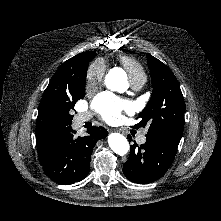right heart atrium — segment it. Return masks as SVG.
<instances>
[{
    "label": "right heart atrium",
    "mask_w": 221,
    "mask_h": 221,
    "mask_svg": "<svg viewBox=\"0 0 221 221\" xmlns=\"http://www.w3.org/2000/svg\"><path fill=\"white\" fill-rule=\"evenodd\" d=\"M105 65L101 60L93 61L87 68L85 86L87 90L95 88L103 79Z\"/></svg>",
    "instance_id": "d8ad5b80"
}]
</instances>
